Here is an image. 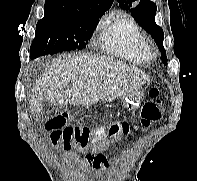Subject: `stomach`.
Wrapping results in <instances>:
<instances>
[{
  "instance_id": "obj_1",
  "label": "stomach",
  "mask_w": 197,
  "mask_h": 181,
  "mask_svg": "<svg viewBox=\"0 0 197 181\" xmlns=\"http://www.w3.org/2000/svg\"><path fill=\"white\" fill-rule=\"evenodd\" d=\"M143 93L136 89L122 97L123 105L129 110H135L139 107Z\"/></svg>"
}]
</instances>
